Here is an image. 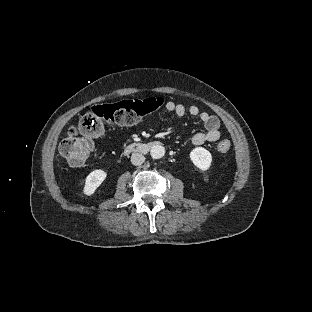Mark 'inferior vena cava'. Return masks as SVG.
Listing matches in <instances>:
<instances>
[{
    "label": "inferior vena cava",
    "mask_w": 312,
    "mask_h": 312,
    "mask_svg": "<svg viewBox=\"0 0 312 312\" xmlns=\"http://www.w3.org/2000/svg\"><path fill=\"white\" fill-rule=\"evenodd\" d=\"M145 162L144 155L140 153H133L131 156V163L135 166L141 165Z\"/></svg>",
    "instance_id": "obj_1"
}]
</instances>
